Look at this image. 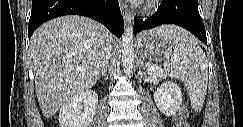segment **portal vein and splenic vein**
<instances>
[{"label":"portal vein and splenic vein","instance_id":"obj_1","mask_svg":"<svg viewBox=\"0 0 243 127\" xmlns=\"http://www.w3.org/2000/svg\"><path fill=\"white\" fill-rule=\"evenodd\" d=\"M147 71L150 74H163L162 70H157L156 68L150 66L148 67Z\"/></svg>","mask_w":243,"mask_h":127}]
</instances>
